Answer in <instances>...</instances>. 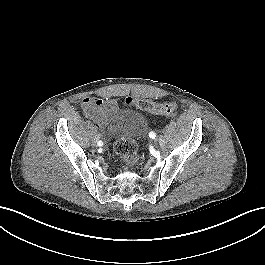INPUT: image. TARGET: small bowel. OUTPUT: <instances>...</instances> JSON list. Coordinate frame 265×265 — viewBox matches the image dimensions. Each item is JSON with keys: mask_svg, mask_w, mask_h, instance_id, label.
Here are the masks:
<instances>
[{"mask_svg": "<svg viewBox=\"0 0 265 265\" xmlns=\"http://www.w3.org/2000/svg\"><path fill=\"white\" fill-rule=\"evenodd\" d=\"M115 106L114 100H103L99 97H85L81 107L87 117L102 126L105 114Z\"/></svg>", "mask_w": 265, "mask_h": 265, "instance_id": "small-bowel-1", "label": "small bowel"}]
</instances>
